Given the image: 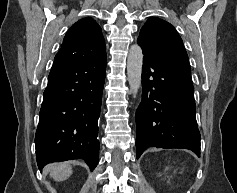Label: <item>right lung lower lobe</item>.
<instances>
[{
	"label": "right lung lower lobe",
	"instance_id": "98d812e1",
	"mask_svg": "<svg viewBox=\"0 0 237 193\" xmlns=\"http://www.w3.org/2000/svg\"><path fill=\"white\" fill-rule=\"evenodd\" d=\"M106 56L80 60L57 53L43 94L35 136L39 169L55 161L99 160V117Z\"/></svg>",
	"mask_w": 237,
	"mask_h": 193
}]
</instances>
